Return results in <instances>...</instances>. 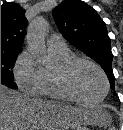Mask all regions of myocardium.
Instances as JSON below:
<instances>
[{
    "instance_id": "1",
    "label": "myocardium",
    "mask_w": 123,
    "mask_h": 130,
    "mask_svg": "<svg viewBox=\"0 0 123 130\" xmlns=\"http://www.w3.org/2000/svg\"><path fill=\"white\" fill-rule=\"evenodd\" d=\"M81 63L88 64V65L94 67L100 73L101 77L103 78V81L105 84V89H104L103 95L100 98L94 99V100L86 99V98L79 96L73 89V87L71 85V81H70V75H71V72L74 69V67ZM54 76H55L56 83H57L59 89L61 90V92L69 100L75 101V102H80V103H85V104L100 103L101 101H103L105 99V97L107 96L109 89H110L108 77H107L105 71L102 69V67L99 64H97L96 62H94L88 58L81 57V56L73 55L65 60L59 61L57 66L54 68Z\"/></svg>"
}]
</instances>
